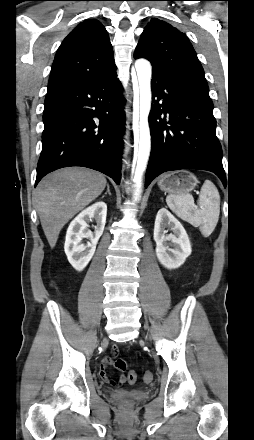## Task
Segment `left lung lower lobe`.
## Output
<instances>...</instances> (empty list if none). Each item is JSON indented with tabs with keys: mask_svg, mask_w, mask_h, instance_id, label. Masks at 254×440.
<instances>
[{
	"mask_svg": "<svg viewBox=\"0 0 254 440\" xmlns=\"http://www.w3.org/2000/svg\"><path fill=\"white\" fill-rule=\"evenodd\" d=\"M149 126L151 154L145 187L166 171L202 169L226 184L210 97L153 68Z\"/></svg>",
	"mask_w": 254,
	"mask_h": 440,
	"instance_id": "1",
	"label": "left lung lower lobe"
}]
</instances>
